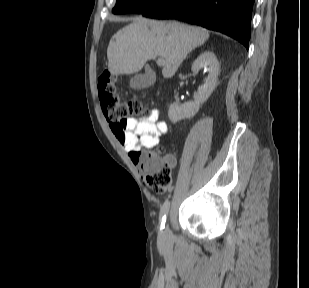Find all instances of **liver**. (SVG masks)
Instances as JSON below:
<instances>
[{
	"label": "liver",
	"mask_w": 309,
	"mask_h": 288,
	"mask_svg": "<svg viewBox=\"0 0 309 288\" xmlns=\"http://www.w3.org/2000/svg\"><path fill=\"white\" fill-rule=\"evenodd\" d=\"M209 38V31L176 21L136 18L119 30L107 48L108 70L112 75L139 72L148 60L162 57L164 78L176 73L187 55Z\"/></svg>",
	"instance_id": "1"
}]
</instances>
